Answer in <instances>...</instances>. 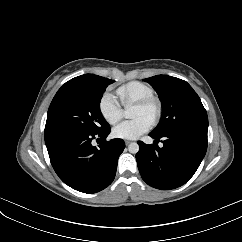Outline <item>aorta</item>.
I'll return each mask as SVG.
<instances>
[{"label": "aorta", "instance_id": "762f6f07", "mask_svg": "<svg viewBox=\"0 0 242 242\" xmlns=\"http://www.w3.org/2000/svg\"><path fill=\"white\" fill-rule=\"evenodd\" d=\"M125 116H126L127 118H131V117L133 116L132 108H127V109L125 110ZM128 150H129L130 153H132V154H136V153H138V151H139V145H138L137 143H135V142L130 143V144L128 145Z\"/></svg>", "mask_w": 242, "mask_h": 242}]
</instances>
